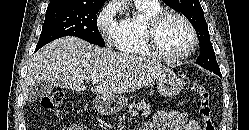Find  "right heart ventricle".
Listing matches in <instances>:
<instances>
[{
	"mask_svg": "<svg viewBox=\"0 0 249 130\" xmlns=\"http://www.w3.org/2000/svg\"><path fill=\"white\" fill-rule=\"evenodd\" d=\"M137 14L122 19L113 37V45L120 52L134 57H153L145 40V23L152 15L162 11L159 2L134 0Z\"/></svg>",
	"mask_w": 249,
	"mask_h": 130,
	"instance_id": "obj_1",
	"label": "right heart ventricle"
}]
</instances>
